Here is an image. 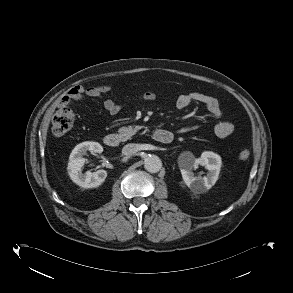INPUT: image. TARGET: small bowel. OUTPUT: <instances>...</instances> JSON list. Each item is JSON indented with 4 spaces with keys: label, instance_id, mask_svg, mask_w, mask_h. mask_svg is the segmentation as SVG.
<instances>
[{
    "label": "small bowel",
    "instance_id": "c3829d8e",
    "mask_svg": "<svg viewBox=\"0 0 293 293\" xmlns=\"http://www.w3.org/2000/svg\"><path fill=\"white\" fill-rule=\"evenodd\" d=\"M111 85H97V86H75L71 88L59 101V106H69L75 101H80L85 99L86 97L91 98H99L102 97L105 94H108L112 91ZM156 98V94L154 91L149 90L138 97H136L135 101L140 102H149L153 101ZM198 102L203 104L207 110L210 112L212 116L218 119V122L214 126V133L218 138H227L231 134H233L235 130L234 123L229 120L223 118V112L221 105L219 101L210 95H207L202 92L193 91L188 94H182L177 98L176 106L179 109H185L189 107L192 103ZM104 109L110 114V115H117L121 109L122 105L111 99L107 98L103 102ZM197 126H191V127H184L180 130L181 133L190 132L193 130H196Z\"/></svg>",
    "mask_w": 293,
    "mask_h": 293
}]
</instances>
